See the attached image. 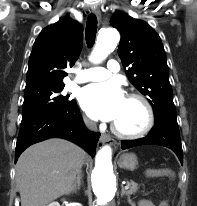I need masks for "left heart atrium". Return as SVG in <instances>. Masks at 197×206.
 Listing matches in <instances>:
<instances>
[{"mask_svg": "<svg viewBox=\"0 0 197 206\" xmlns=\"http://www.w3.org/2000/svg\"><path fill=\"white\" fill-rule=\"evenodd\" d=\"M125 96L116 81L91 84L80 94V104L93 119L116 121L123 109Z\"/></svg>", "mask_w": 197, "mask_h": 206, "instance_id": "left-heart-atrium-1", "label": "left heart atrium"}]
</instances>
